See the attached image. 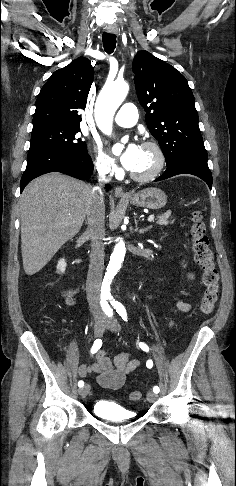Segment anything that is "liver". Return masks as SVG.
<instances>
[{"mask_svg":"<svg viewBox=\"0 0 236 486\" xmlns=\"http://www.w3.org/2000/svg\"><path fill=\"white\" fill-rule=\"evenodd\" d=\"M92 187L52 172L30 182L20 197L21 250L27 275L39 272L79 231Z\"/></svg>","mask_w":236,"mask_h":486,"instance_id":"liver-1","label":"liver"}]
</instances>
